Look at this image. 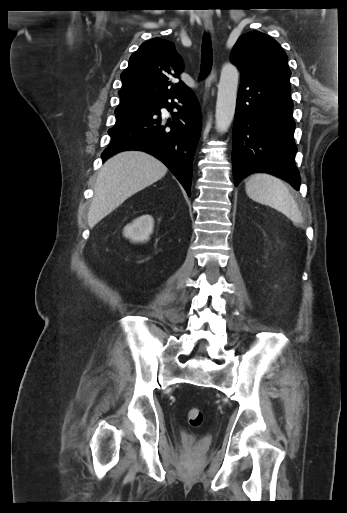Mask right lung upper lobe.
I'll return each mask as SVG.
<instances>
[{
  "instance_id": "cb5924a9",
  "label": "right lung upper lobe",
  "mask_w": 347,
  "mask_h": 513,
  "mask_svg": "<svg viewBox=\"0 0 347 513\" xmlns=\"http://www.w3.org/2000/svg\"><path fill=\"white\" fill-rule=\"evenodd\" d=\"M181 72L182 60L173 43L161 38L144 42L121 74L119 107L133 110L189 90L182 81L169 82L170 76L179 78Z\"/></svg>"
}]
</instances>
